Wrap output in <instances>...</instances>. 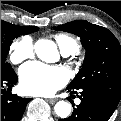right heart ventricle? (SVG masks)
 I'll return each mask as SVG.
<instances>
[{
    "mask_svg": "<svg viewBox=\"0 0 121 121\" xmlns=\"http://www.w3.org/2000/svg\"><path fill=\"white\" fill-rule=\"evenodd\" d=\"M56 41L58 43V46L63 51H69V52H76L78 50V45L76 41L67 35H57Z\"/></svg>",
    "mask_w": 121,
    "mask_h": 121,
    "instance_id": "obj_1",
    "label": "right heart ventricle"
}]
</instances>
